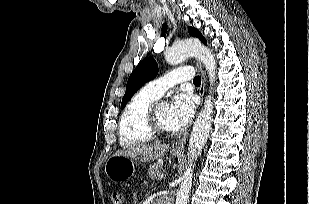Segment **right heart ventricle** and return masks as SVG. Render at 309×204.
Returning a JSON list of instances; mask_svg holds the SVG:
<instances>
[{
  "label": "right heart ventricle",
  "mask_w": 309,
  "mask_h": 204,
  "mask_svg": "<svg viewBox=\"0 0 309 204\" xmlns=\"http://www.w3.org/2000/svg\"><path fill=\"white\" fill-rule=\"evenodd\" d=\"M156 97L141 90L125 106L119 122L120 143L125 146L151 141L154 136L147 129L145 116Z\"/></svg>",
  "instance_id": "right-heart-ventricle-1"
}]
</instances>
